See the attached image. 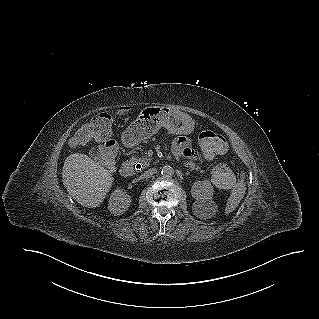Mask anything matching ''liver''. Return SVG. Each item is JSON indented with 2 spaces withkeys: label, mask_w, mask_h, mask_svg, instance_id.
<instances>
[{
  "label": "liver",
  "mask_w": 319,
  "mask_h": 319,
  "mask_svg": "<svg viewBox=\"0 0 319 319\" xmlns=\"http://www.w3.org/2000/svg\"><path fill=\"white\" fill-rule=\"evenodd\" d=\"M62 179L69 195L88 208L100 206L114 181L101 163L78 152L66 158Z\"/></svg>",
  "instance_id": "obj_1"
}]
</instances>
